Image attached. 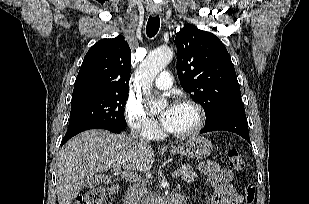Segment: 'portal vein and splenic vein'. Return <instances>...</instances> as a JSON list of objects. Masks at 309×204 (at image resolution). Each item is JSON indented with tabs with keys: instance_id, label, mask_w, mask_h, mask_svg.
Segmentation results:
<instances>
[{
	"instance_id": "1",
	"label": "portal vein and splenic vein",
	"mask_w": 309,
	"mask_h": 204,
	"mask_svg": "<svg viewBox=\"0 0 309 204\" xmlns=\"http://www.w3.org/2000/svg\"><path fill=\"white\" fill-rule=\"evenodd\" d=\"M113 172H114V175L122 176L125 179L131 180V179L135 178V176L133 174H131L130 172H125V171L122 172L121 167L114 168ZM172 176H174V177L177 176V171L173 172Z\"/></svg>"
}]
</instances>
